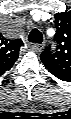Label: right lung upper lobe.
<instances>
[{
	"mask_svg": "<svg viewBox=\"0 0 71 119\" xmlns=\"http://www.w3.org/2000/svg\"><path fill=\"white\" fill-rule=\"evenodd\" d=\"M23 45L21 39L9 40L0 38V73L10 70L19 56L20 47Z\"/></svg>",
	"mask_w": 71,
	"mask_h": 119,
	"instance_id": "cb5924a9",
	"label": "right lung upper lobe"
}]
</instances>
